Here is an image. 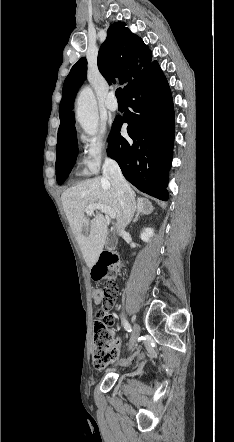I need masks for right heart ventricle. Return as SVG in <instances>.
I'll list each match as a JSON object with an SVG mask.
<instances>
[{
	"instance_id": "e07e8e85",
	"label": "right heart ventricle",
	"mask_w": 234,
	"mask_h": 442,
	"mask_svg": "<svg viewBox=\"0 0 234 442\" xmlns=\"http://www.w3.org/2000/svg\"><path fill=\"white\" fill-rule=\"evenodd\" d=\"M84 165H85V162L79 163V168L77 170V174L78 175H83V174H86L88 172Z\"/></svg>"
}]
</instances>
